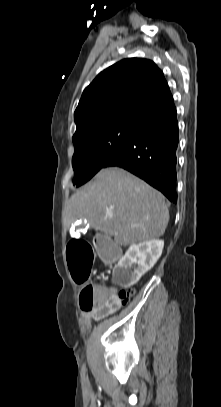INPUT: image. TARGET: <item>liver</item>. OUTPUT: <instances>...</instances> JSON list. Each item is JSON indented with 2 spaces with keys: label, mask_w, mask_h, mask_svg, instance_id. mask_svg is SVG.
Here are the masks:
<instances>
[{
  "label": "liver",
  "mask_w": 221,
  "mask_h": 407,
  "mask_svg": "<svg viewBox=\"0 0 221 407\" xmlns=\"http://www.w3.org/2000/svg\"><path fill=\"white\" fill-rule=\"evenodd\" d=\"M86 220L91 228L128 246L162 236L169 221L165 197L124 169L100 170L69 200V220Z\"/></svg>",
  "instance_id": "liver-1"
}]
</instances>
